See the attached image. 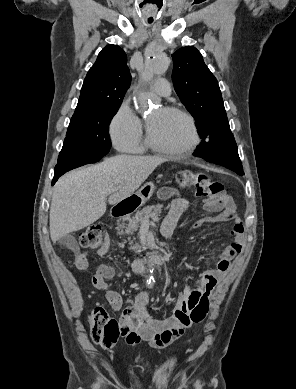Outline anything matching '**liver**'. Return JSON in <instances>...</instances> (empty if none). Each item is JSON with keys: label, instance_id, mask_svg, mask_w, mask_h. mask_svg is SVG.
Returning <instances> with one entry per match:
<instances>
[{"label": "liver", "instance_id": "6515ba94", "mask_svg": "<svg viewBox=\"0 0 296 389\" xmlns=\"http://www.w3.org/2000/svg\"><path fill=\"white\" fill-rule=\"evenodd\" d=\"M166 159L156 156L118 155L71 171L54 186L50 207V237L56 243L81 230L113 205L131 196Z\"/></svg>", "mask_w": 296, "mask_h": 389}]
</instances>
